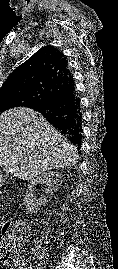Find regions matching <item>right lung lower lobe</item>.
Segmentation results:
<instances>
[{
  "label": "right lung lower lobe",
  "mask_w": 118,
  "mask_h": 269,
  "mask_svg": "<svg viewBox=\"0 0 118 269\" xmlns=\"http://www.w3.org/2000/svg\"><path fill=\"white\" fill-rule=\"evenodd\" d=\"M40 112L56 129L80 149L82 115L74 83L43 102L29 106Z\"/></svg>",
  "instance_id": "98d812e1"
}]
</instances>
